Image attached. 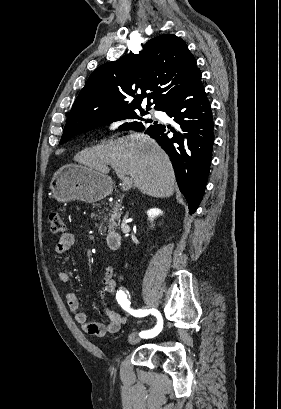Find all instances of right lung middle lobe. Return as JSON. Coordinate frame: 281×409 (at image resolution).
<instances>
[{
	"label": "right lung middle lobe",
	"mask_w": 281,
	"mask_h": 409,
	"mask_svg": "<svg viewBox=\"0 0 281 409\" xmlns=\"http://www.w3.org/2000/svg\"><path fill=\"white\" fill-rule=\"evenodd\" d=\"M140 112H141V115H145V114L148 113L147 111H140ZM128 118H130V119H140V117L138 116V114L135 111H129V112H123V113L108 117L106 119L97 121L95 123H92V124L84 126V127L65 128L64 132H63V135H62V138H61V141H60V144H63L65 142H67L72 137H74V136H76V135H78V134H80L82 132H85V131H88L90 129L100 127V126H103V125H106V124H110V123L115 122V121L128 119Z\"/></svg>",
	"instance_id": "obj_1"
}]
</instances>
